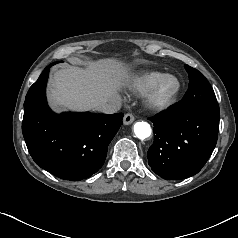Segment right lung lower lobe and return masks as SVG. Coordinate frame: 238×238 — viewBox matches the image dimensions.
<instances>
[{"label": "right lung lower lobe", "instance_id": "right-lung-lower-lobe-1", "mask_svg": "<svg viewBox=\"0 0 238 238\" xmlns=\"http://www.w3.org/2000/svg\"><path fill=\"white\" fill-rule=\"evenodd\" d=\"M52 65L44 69L26 95L22 132L38 166L61 179L78 181L102 167L123 114L52 112L45 97Z\"/></svg>", "mask_w": 238, "mask_h": 238}]
</instances>
